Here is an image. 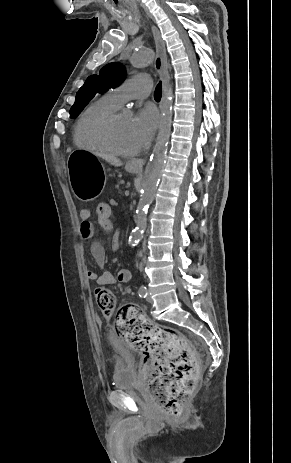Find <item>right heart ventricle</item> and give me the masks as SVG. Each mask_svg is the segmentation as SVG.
<instances>
[{
	"label": "right heart ventricle",
	"mask_w": 291,
	"mask_h": 463,
	"mask_svg": "<svg viewBox=\"0 0 291 463\" xmlns=\"http://www.w3.org/2000/svg\"><path fill=\"white\" fill-rule=\"evenodd\" d=\"M118 108L119 106L112 100L109 93L90 103L80 113L75 122L73 129L74 143L86 150H105L93 140L90 130L95 122L117 111Z\"/></svg>",
	"instance_id": "right-heart-ventricle-1"
}]
</instances>
